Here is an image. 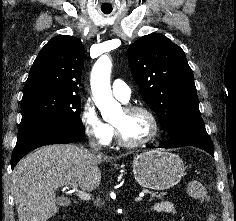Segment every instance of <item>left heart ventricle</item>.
<instances>
[{
  "mask_svg": "<svg viewBox=\"0 0 236 221\" xmlns=\"http://www.w3.org/2000/svg\"><path fill=\"white\" fill-rule=\"evenodd\" d=\"M122 136L132 142L147 138L152 132L149 117L142 112L127 113L123 109L114 120Z\"/></svg>",
  "mask_w": 236,
  "mask_h": 221,
  "instance_id": "obj_1",
  "label": "left heart ventricle"
}]
</instances>
